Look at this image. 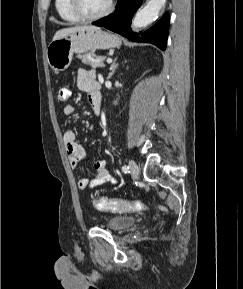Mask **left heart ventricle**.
Returning a JSON list of instances; mask_svg holds the SVG:
<instances>
[{
	"instance_id": "obj_1",
	"label": "left heart ventricle",
	"mask_w": 243,
	"mask_h": 289,
	"mask_svg": "<svg viewBox=\"0 0 243 289\" xmlns=\"http://www.w3.org/2000/svg\"><path fill=\"white\" fill-rule=\"evenodd\" d=\"M109 0H80L82 10L88 15H94L106 9Z\"/></svg>"
}]
</instances>
